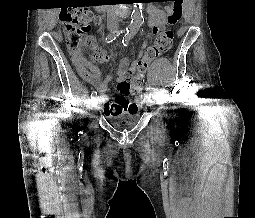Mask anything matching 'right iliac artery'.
<instances>
[{"label":"right iliac artery","instance_id":"right-iliac-artery-1","mask_svg":"<svg viewBox=\"0 0 255 218\" xmlns=\"http://www.w3.org/2000/svg\"><path fill=\"white\" fill-rule=\"evenodd\" d=\"M126 31H127V33L129 32L128 29H126ZM123 33H125V30H118V31H115V32L110 33V34L106 37V39H105L106 43H111V42L114 41L119 35H121V34H123ZM96 95H97V92H96L95 90H93L92 93H91V98L93 99Z\"/></svg>","mask_w":255,"mask_h":218}]
</instances>
